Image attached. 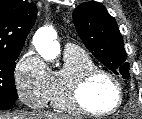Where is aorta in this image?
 <instances>
[{
	"label": "aorta",
	"instance_id": "1",
	"mask_svg": "<svg viewBox=\"0 0 142 119\" xmlns=\"http://www.w3.org/2000/svg\"><path fill=\"white\" fill-rule=\"evenodd\" d=\"M33 44L39 55L49 61H53L60 54V45L57 41V32L53 27H42L38 29Z\"/></svg>",
	"mask_w": 142,
	"mask_h": 119
}]
</instances>
